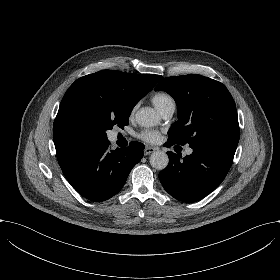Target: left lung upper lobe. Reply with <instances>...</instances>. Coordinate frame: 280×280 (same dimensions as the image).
<instances>
[{
	"instance_id": "obj_1",
	"label": "left lung upper lobe",
	"mask_w": 280,
	"mask_h": 280,
	"mask_svg": "<svg viewBox=\"0 0 280 280\" xmlns=\"http://www.w3.org/2000/svg\"><path fill=\"white\" fill-rule=\"evenodd\" d=\"M155 90L166 91L177 104L178 121L169 129V139L180 145L237 147L236 105L222 83L201 75L173 76L164 78Z\"/></svg>"
}]
</instances>
